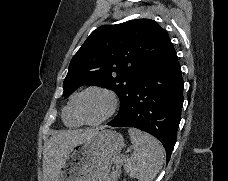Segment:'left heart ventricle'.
<instances>
[{"instance_id":"obj_1","label":"left heart ventricle","mask_w":228,"mask_h":181,"mask_svg":"<svg viewBox=\"0 0 228 181\" xmlns=\"http://www.w3.org/2000/svg\"><path fill=\"white\" fill-rule=\"evenodd\" d=\"M106 106V98L95 92L83 95L78 103V107L86 118L94 120L101 115Z\"/></svg>"}]
</instances>
